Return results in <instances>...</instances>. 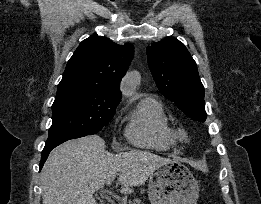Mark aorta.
Segmentation results:
<instances>
[{"label":"aorta","instance_id":"1","mask_svg":"<svg viewBox=\"0 0 261 204\" xmlns=\"http://www.w3.org/2000/svg\"><path fill=\"white\" fill-rule=\"evenodd\" d=\"M139 81L140 75L137 71L128 72L122 81V93L126 96H131L132 94H134Z\"/></svg>","mask_w":261,"mask_h":204}]
</instances>
